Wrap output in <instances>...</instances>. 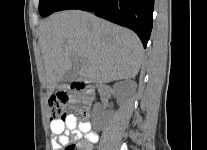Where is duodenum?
<instances>
[{"label":"duodenum","instance_id":"obj_1","mask_svg":"<svg viewBox=\"0 0 207 150\" xmlns=\"http://www.w3.org/2000/svg\"><path fill=\"white\" fill-rule=\"evenodd\" d=\"M70 86H71V89L74 91L83 92L87 99H91L94 95V90L90 86L85 85L84 83L80 81H74L71 83ZM83 113H84V116H86V113L84 111Z\"/></svg>","mask_w":207,"mask_h":150}]
</instances>
